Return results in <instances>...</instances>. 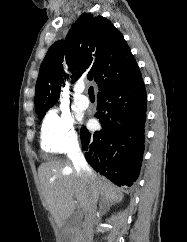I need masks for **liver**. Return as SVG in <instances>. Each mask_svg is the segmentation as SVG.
Returning a JSON list of instances; mask_svg holds the SVG:
<instances>
[{
  "label": "liver",
  "mask_w": 187,
  "mask_h": 242,
  "mask_svg": "<svg viewBox=\"0 0 187 242\" xmlns=\"http://www.w3.org/2000/svg\"><path fill=\"white\" fill-rule=\"evenodd\" d=\"M43 197L57 226L61 228L65 220L75 210V201L86 215L90 200V182L78 175L71 161L52 160L38 169ZM94 182L98 195L105 205L122 201V191L95 172Z\"/></svg>",
  "instance_id": "6515ba94"
}]
</instances>
